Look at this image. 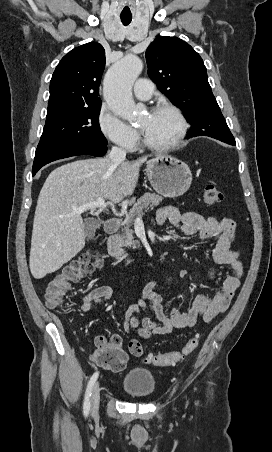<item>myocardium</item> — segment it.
Segmentation results:
<instances>
[{
	"label": "myocardium",
	"mask_w": 272,
	"mask_h": 452,
	"mask_svg": "<svg viewBox=\"0 0 272 452\" xmlns=\"http://www.w3.org/2000/svg\"><path fill=\"white\" fill-rule=\"evenodd\" d=\"M158 112H167L175 117V119L177 120V123H178V129H177L175 136L172 138V140H170L166 143L154 144V143L147 141L141 132L140 133V143L144 147H146L150 150H155V151H165V150L173 149V148L177 147L183 141V139L185 138V136L187 134V130H188L187 120H186L185 116L182 114V112L177 107L170 105V104H161V105L154 106L151 109L150 114H155Z\"/></svg>",
	"instance_id": "1"
}]
</instances>
